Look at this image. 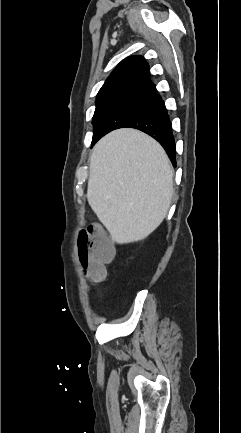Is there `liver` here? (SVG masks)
<instances>
[{
  "mask_svg": "<svg viewBox=\"0 0 241 433\" xmlns=\"http://www.w3.org/2000/svg\"><path fill=\"white\" fill-rule=\"evenodd\" d=\"M173 176L157 141L136 129H118L93 148L87 200L113 241L138 242L166 217Z\"/></svg>",
  "mask_w": 241,
  "mask_h": 433,
  "instance_id": "obj_1",
  "label": "liver"
}]
</instances>
